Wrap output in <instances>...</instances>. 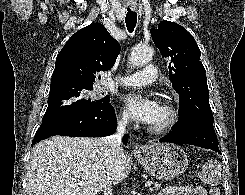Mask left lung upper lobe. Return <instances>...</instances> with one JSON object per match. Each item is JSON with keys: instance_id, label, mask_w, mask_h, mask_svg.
I'll return each instance as SVG.
<instances>
[{"instance_id": "obj_1", "label": "left lung upper lobe", "mask_w": 245, "mask_h": 195, "mask_svg": "<svg viewBox=\"0 0 245 195\" xmlns=\"http://www.w3.org/2000/svg\"><path fill=\"white\" fill-rule=\"evenodd\" d=\"M151 35L162 57L170 61L169 79L179 94L180 119L200 117L213 121L206 72L193 36L170 21L160 22L157 28L151 29Z\"/></svg>"}]
</instances>
